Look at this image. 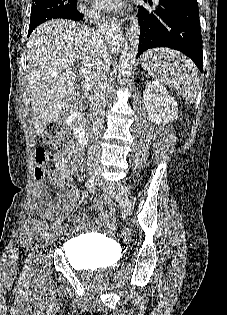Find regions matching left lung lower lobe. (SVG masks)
Instances as JSON below:
<instances>
[{
  "label": "left lung lower lobe",
  "instance_id": "0a47b994",
  "mask_svg": "<svg viewBox=\"0 0 227 315\" xmlns=\"http://www.w3.org/2000/svg\"><path fill=\"white\" fill-rule=\"evenodd\" d=\"M153 6L152 0H144ZM137 58L155 47L176 49L190 57L202 72V36L197 0H159L155 9L139 8Z\"/></svg>",
  "mask_w": 227,
  "mask_h": 315
}]
</instances>
